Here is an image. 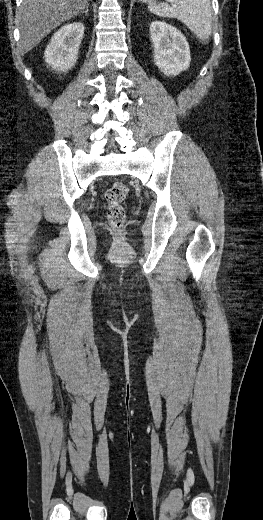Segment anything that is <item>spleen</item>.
I'll use <instances>...</instances> for the list:
<instances>
[{"instance_id":"3e777b00","label":"spleen","mask_w":263,"mask_h":520,"mask_svg":"<svg viewBox=\"0 0 263 520\" xmlns=\"http://www.w3.org/2000/svg\"><path fill=\"white\" fill-rule=\"evenodd\" d=\"M157 4L148 0L151 13L166 18H177L200 40L207 43L212 32V8L210 0H166ZM176 6V7H173Z\"/></svg>"}]
</instances>
